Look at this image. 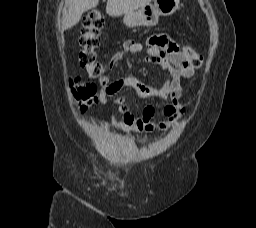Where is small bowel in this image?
Returning a JSON list of instances; mask_svg holds the SVG:
<instances>
[{"instance_id": "small-bowel-1", "label": "small bowel", "mask_w": 256, "mask_h": 228, "mask_svg": "<svg viewBox=\"0 0 256 228\" xmlns=\"http://www.w3.org/2000/svg\"><path fill=\"white\" fill-rule=\"evenodd\" d=\"M143 51L147 60L160 65L166 72L167 80L160 88L149 86L134 76L111 81L104 73L106 69L114 67L126 54ZM103 69V74L99 78L101 103H106L109 97L116 95L123 87L133 89L143 99H170V103L163 110L165 119L160 122L153 120L154 107L147 106L141 116H135L123 99H119L118 109L122 118L120 120L112 118L115 128L126 132L167 130L183 115L185 109L180 102L183 93L182 80L190 78L194 70L181 48L169 35L154 34L148 38L146 44L134 40L125 41L122 49L109 57Z\"/></svg>"}]
</instances>
